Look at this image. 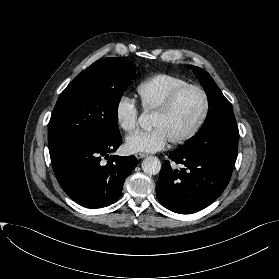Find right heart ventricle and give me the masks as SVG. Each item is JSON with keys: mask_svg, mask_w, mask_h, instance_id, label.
<instances>
[{"mask_svg": "<svg viewBox=\"0 0 279 279\" xmlns=\"http://www.w3.org/2000/svg\"><path fill=\"white\" fill-rule=\"evenodd\" d=\"M185 84L188 81L181 77L160 73L143 80L136 90L142 108L154 112L174 89Z\"/></svg>", "mask_w": 279, "mask_h": 279, "instance_id": "obj_1", "label": "right heart ventricle"}]
</instances>
